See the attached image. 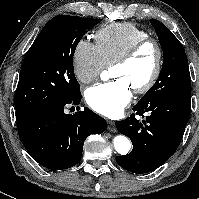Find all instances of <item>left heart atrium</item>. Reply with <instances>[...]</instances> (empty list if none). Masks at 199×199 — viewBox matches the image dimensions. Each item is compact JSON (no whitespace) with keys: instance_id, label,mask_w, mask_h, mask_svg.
Listing matches in <instances>:
<instances>
[{"instance_id":"left-heart-atrium-1","label":"left heart atrium","mask_w":199,"mask_h":199,"mask_svg":"<svg viewBox=\"0 0 199 199\" xmlns=\"http://www.w3.org/2000/svg\"><path fill=\"white\" fill-rule=\"evenodd\" d=\"M131 97V88L122 78L92 86L85 94L87 104L94 111L106 117L121 115Z\"/></svg>"}]
</instances>
